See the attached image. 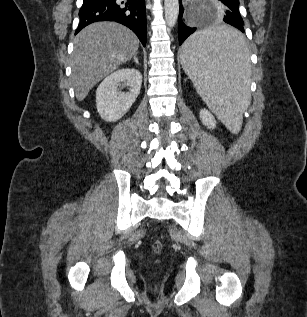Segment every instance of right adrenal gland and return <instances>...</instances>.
<instances>
[{
    "label": "right adrenal gland",
    "instance_id": "obj_1",
    "mask_svg": "<svg viewBox=\"0 0 307 317\" xmlns=\"http://www.w3.org/2000/svg\"><path fill=\"white\" fill-rule=\"evenodd\" d=\"M133 61H134L136 64H139V61H138V59H137V56H136V55L133 57Z\"/></svg>",
    "mask_w": 307,
    "mask_h": 317
}]
</instances>
